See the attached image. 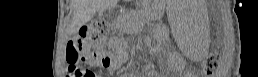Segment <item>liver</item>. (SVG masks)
Returning <instances> with one entry per match:
<instances>
[{"instance_id":"liver-1","label":"liver","mask_w":258,"mask_h":77,"mask_svg":"<svg viewBox=\"0 0 258 77\" xmlns=\"http://www.w3.org/2000/svg\"><path fill=\"white\" fill-rule=\"evenodd\" d=\"M116 3L117 0H72V32L77 33L97 12L114 7Z\"/></svg>"}]
</instances>
